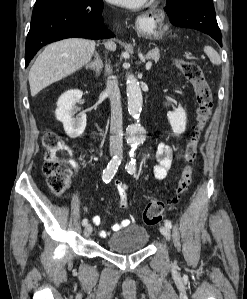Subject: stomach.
Masks as SVG:
<instances>
[{"label": "stomach", "instance_id": "stomach-1", "mask_svg": "<svg viewBox=\"0 0 247 299\" xmlns=\"http://www.w3.org/2000/svg\"><path fill=\"white\" fill-rule=\"evenodd\" d=\"M143 23H146L145 26H143ZM137 28L139 30V32L145 36L146 38H151L152 36L154 38H159L162 35L161 31H158L156 29H154L151 25H149V23L145 20H141L137 23Z\"/></svg>", "mask_w": 247, "mask_h": 299}]
</instances>
